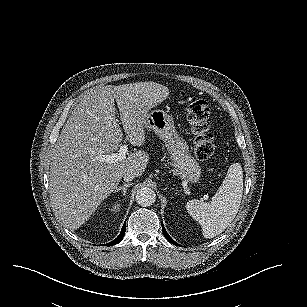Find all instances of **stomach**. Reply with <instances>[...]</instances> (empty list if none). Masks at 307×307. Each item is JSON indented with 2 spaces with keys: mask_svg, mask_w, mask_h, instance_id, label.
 <instances>
[{
  "mask_svg": "<svg viewBox=\"0 0 307 307\" xmlns=\"http://www.w3.org/2000/svg\"><path fill=\"white\" fill-rule=\"evenodd\" d=\"M145 128L153 131L164 142L175 175L191 183L198 182L201 167L190 154L187 142L177 132L173 117L163 110H152L146 116Z\"/></svg>",
  "mask_w": 307,
  "mask_h": 307,
  "instance_id": "1",
  "label": "stomach"
}]
</instances>
